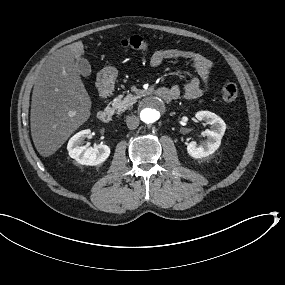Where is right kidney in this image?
<instances>
[{
	"label": "right kidney",
	"instance_id": "ca27d5eb",
	"mask_svg": "<svg viewBox=\"0 0 285 285\" xmlns=\"http://www.w3.org/2000/svg\"><path fill=\"white\" fill-rule=\"evenodd\" d=\"M91 134L90 129L82 130L70 138L67 150L69 156L82 165H98L103 163L110 155L107 145H95L94 147L82 146L85 137Z\"/></svg>",
	"mask_w": 285,
	"mask_h": 285
}]
</instances>
